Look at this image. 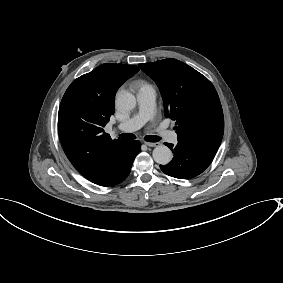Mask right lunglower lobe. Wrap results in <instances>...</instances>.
Masks as SVG:
<instances>
[{"instance_id":"right-lung-lower-lobe-1","label":"right lung lower lobe","mask_w":283,"mask_h":283,"mask_svg":"<svg viewBox=\"0 0 283 283\" xmlns=\"http://www.w3.org/2000/svg\"><path fill=\"white\" fill-rule=\"evenodd\" d=\"M128 150L126 156L117 166L106 170L102 175L90 179V181L100 186L117 185L124 181L130 173L135 157L141 150V143L130 141Z\"/></svg>"}]
</instances>
